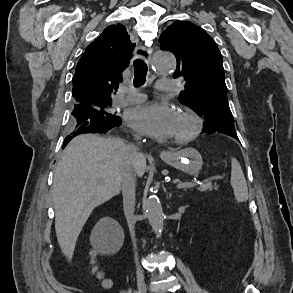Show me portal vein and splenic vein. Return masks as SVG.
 <instances>
[{
	"mask_svg": "<svg viewBox=\"0 0 293 293\" xmlns=\"http://www.w3.org/2000/svg\"><path fill=\"white\" fill-rule=\"evenodd\" d=\"M194 184L192 182H180L176 185L177 189H183V188H188V187H193Z\"/></svg>",
	"mask_w": 293,
	"mask_h": 293,
	"instance_id": "1",
	"label": "portal vein and splenic vein"
}]
</instances>
